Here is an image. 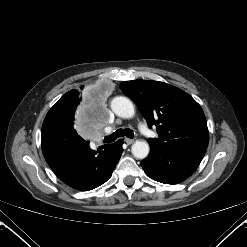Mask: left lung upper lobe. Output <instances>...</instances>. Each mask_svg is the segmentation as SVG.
I'll list each match as a JSON object with an SVG mask.
<instances>
[{
	"instance_id": "obj_1",
	"label": "left lung upper lobe",
	"mask_w": 247,
	"mask_h": 247,
	"mask_svg": "<svg viewBox=\"0 0 247 247\" xmlns=\"http://www.w3.org/2000/svg\"><path fill=\"white\" fill-rule=\"evenodd\" d=\"M138 106L148 126L159 138L149 144L175 148L184 144L207 147L209 132L200 105L186 92L164 82L133 80L120 85Z\"/></svg>"
}]
</instances>
